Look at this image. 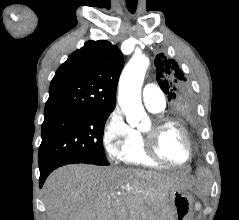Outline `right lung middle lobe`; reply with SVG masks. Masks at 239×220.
<instances>
[{
    "mask_svg": "<svg viewBox=\"0 0 239 220\" xmlns=\"http://www.w3.org/2000/svg\"><path fill=\"white\" fill-rule=\"evenodd\" d=\"M110 112L79 111L44 115L39 169L56 163L109 165L102 138Z\"/></svg>",
    "mask_w": 239,
    "mask_h": 220,
    "instance_id": "right-lung-middle-lobe-1",
    "label": "right lung middle lobe"
}]
</instances>
